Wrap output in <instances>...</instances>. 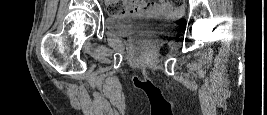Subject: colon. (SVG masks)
Segmentation results:
<instances>
[{"label": "colon", "mask_w": 267, "mask_h": 115, "mask_svg": "<svg viewBox=\"0 0 267 115\" xmlns=\"http://www.w3.org/2000/svg\"><path fill=\"white\" fill-rule=\"evenodd\" d=\"M169 4L173 7H181L184 0H169ZM107 12L109 15H121L128 12V6L123 3H112L108 6Z\"/></svg>", "instance_id": "obj_1"}]
</instances>
